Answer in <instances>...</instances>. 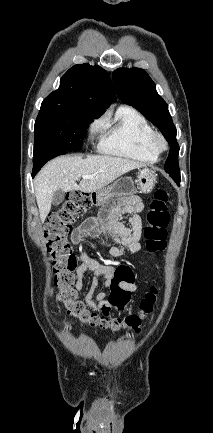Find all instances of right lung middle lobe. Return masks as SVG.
Segmentation results:
<instances>
[{"mask_svg": "<svg viewBox=\"0 0 213 433\" xmlns=\"http://www.w3.org/2000/svg\"><path fill=\"white\" fill-rule=\"evenodd\" d=\"M94 118L84 109L42 103L34 127V153L47 148L80 150L86 128Z\"/></svg>", "mask_w": 213, "mask_h": 433, "instance_id": "obj_1", "label": "right lung middle lobe"}]
</instances>
